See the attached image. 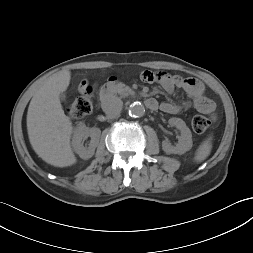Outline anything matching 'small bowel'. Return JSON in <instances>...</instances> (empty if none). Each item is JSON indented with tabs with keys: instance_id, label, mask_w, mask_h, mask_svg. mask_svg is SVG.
<instances>
[{
	"instance_id": "1",
	"label": "small bowel",
	"mask_w": 253,
	"mask_h": 253,
	"mask_svg": "<svg viewBox=\"0 0 253 253\" xmlns=\"http://www.w3.org/2000/svg\"><path fill=\"white\" fill-rule=\"evenodd\" d=\"M141 79L146 82H157L168 93H172L175 88L182 89L190 101L183 103L162 102L160 109L168 114H177L183 109L194 108L200 113L210 115L214 118L215 103L205 95L204 84L195 78H185L180 75H170L166 72L145 71L141 74ZM88 86V82L83 80L80 84V91ZM96 87V86H95Z\"/></svg>"
}]
</instances>
